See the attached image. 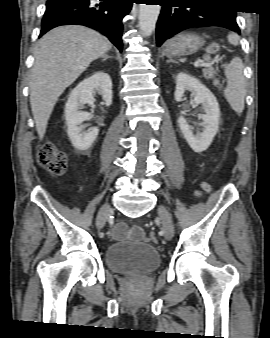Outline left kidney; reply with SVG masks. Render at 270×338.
Returning <instances> with one entry per match:
<instances>
[{"mask_svg": "<svg viewBox=\"0 0 270 338\" xmlns=\"http://www.w3.org/2000/svg\"><path fill=\"white\" fill-rule=\"evenodd\" d=\"M192 92L195 104H202L205 114L201 116L203 120V132L194 134L192 127L187 123L181 112L178 119L179 127L188 142L189 146L196 153L205 151L213 141L214 136L218 132L220 109L216 97L205 87L197 78L180 72L176 79L175 100L180 102L185 91Z\"/></svg>", "mask_w": 270, "mask_h": 338, "instance_id": "left-kidney-1", "label": "left kidney"}]
</instances>
